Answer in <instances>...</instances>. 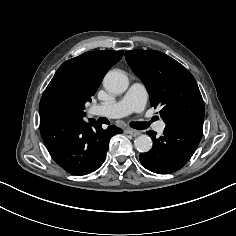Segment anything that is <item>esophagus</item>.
I'll list each match as a JSON object with an SVG mask.
<instances>
[{
  "instance_id": "esophagus-1",
  "label": "esophagus",
  "mask_w": 236,
  "mask_h": 236,
  "mask_svg": "<svg viewBox=\"0 0 236 236\" xmlns=\"http://www.w3.org/2000/svg\"><path fill=\"white\" fill-rule=\"evenodd\" d=\"M125 132H126L127 134H130L131 136H134V137L141 134L140 131L134 130V129H127Z\"/></svg>"
}]
</instances>
